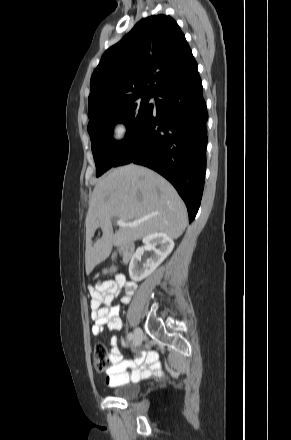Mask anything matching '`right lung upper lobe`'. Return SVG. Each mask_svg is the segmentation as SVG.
<instances>
[{"label": "right lung upper lobe", "instance_id": "cb5924a9", "mask_svg": "<svg viewBox=\"0 0 291 440\" xmlns=\"http://www.w3.org/2000/svg\"><path fill=\"white\" fill-rule=\"evenodd\" d=\"M195 67L192 51L173 18L160 14L142 19L103 54L90 80L88 111L138 95L154 96Z\"/></svg>", "mask_w": 291, "mask_h": 440}]
</instances>
